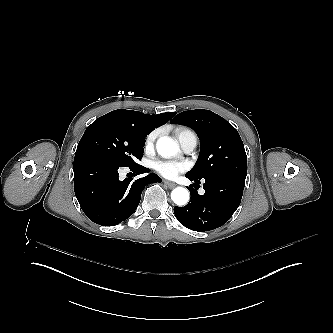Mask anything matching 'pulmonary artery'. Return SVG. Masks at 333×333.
<instances>
[{
	"label": "pulmonary artery",
	"mask_w": 333,
	"mask_h": 333,
	"mask_svg": "<svg viewBox=\"0 0 333 333\" xmlns=\"http://www.w3.org/2000/svg\"><path fill=\"white\" fill-rule=\"evenodd\" d=\"M176 137L184 152L191 153L195 150L197 146V135L194 131L186 129L180 132Z\"/></svg>",
	"instance_id": "pulmonary-artery-1"
}]
</instances>
